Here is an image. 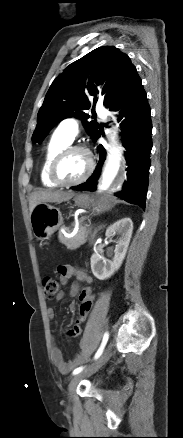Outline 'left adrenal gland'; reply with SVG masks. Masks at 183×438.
Masks as SVG:
<instances>
[{"mask_svg":"<svg viewBox=\"0 0 183 438\" xmlns=\"http://www.w3.org/2000/svg\"><path fill=\"white\" fill-rule=\"evenodd\" d=\"M103 227H104V225H99V226H97V228H95V230H94V234H93V238L95 237L96 233H97L99 230H101Z\"/></svg>","mask_w":183,"mask_h":438,"instance_id":"1","label":"left adrenal gland"}]
</instances>
